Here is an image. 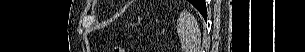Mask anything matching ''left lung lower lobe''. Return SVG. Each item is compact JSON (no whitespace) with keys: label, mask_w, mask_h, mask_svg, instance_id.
Returning <instances> with one entry per match:
<instances>
[{"label":"left lung lower lobe","mask_w":305,"mask_h":52,"mask_svg":"<svg viewBox=\"0 0 305 52\" xmlns=\"http://www.w3.org/2000/svg\"><path fill=\"white\" fill-rule=\"evenodd\" d=\"M201 1H203V5H201L200 7H196V8L202 14L204 19L206 20L207 19V9H206L205 0H201Z\"/></svg>","instance_id":"left-lung-lower-lobe-1"}]
</instances>
